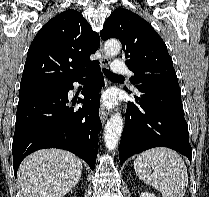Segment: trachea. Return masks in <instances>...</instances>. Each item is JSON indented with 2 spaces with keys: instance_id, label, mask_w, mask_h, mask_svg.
I'll return each mask as SVG.
<instances>
[{
  "instance_id": "3493384b",
  "label": "trachea",
  "mask_w": 209,
  "mask_h": 197,
  "mask_svg": "<svg viewBox=\"0 0 209 197\" xmlns=\"http://www.w3.org/2000/svg\"><path fill=\"white\" fill-rule=\"evenodd\" d=\"M103 73L105 74V76L109 79H113V78H122L123 76L121 75H117V74H114L112 73L111 71L103 68Z\"/></svg>"
}]
</instances>
